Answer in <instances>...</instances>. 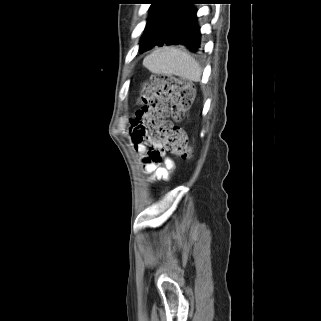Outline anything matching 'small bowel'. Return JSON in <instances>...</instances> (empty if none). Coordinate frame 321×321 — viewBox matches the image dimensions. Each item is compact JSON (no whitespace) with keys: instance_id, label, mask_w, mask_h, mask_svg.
<instances>
[{"instance_id":"1","label":"small bowel","mask_w":321,"mask_h":321,"mask_svg":"<svg viewBox=\"0 0 321 321\" xmlns=\"http://www.w3.org/2000/svg\"><path fill=\"white\" fill-rule=\"evenodd\" d=\"M152 113L147 109L138 110L131 119V140L135 150L142 156L144 169L150 176L149 182L167 180L175 165L171 158L161 155L155 158L157 145L153 141L149 128ZM163 164V165H161Z\"/></svg>"}]
</instances>
